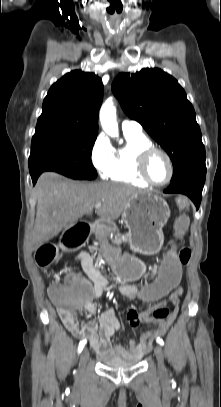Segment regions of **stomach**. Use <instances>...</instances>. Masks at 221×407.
I'll use <instances>...</instances> for the list:
<instances>
[{"label":"stomach","mask_w":221,"mask_h":407,"mask_svg":"<svg viewBox=\"0 0 221 407\" xmlns=\"http://www.w3.org/2000/svg\"><path fill=\"white\" fill-rule=\"evenodd\" d=\"M169 217V206L162 197L150 192L131 196L122 213L131 249L145 255L158 253L164 241L162 229ZM112 262L124 280L133 281L143 273V263L129 254H115Z\"/></svg>","instance_id":"obj_1"}]
</instances>
